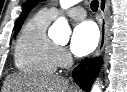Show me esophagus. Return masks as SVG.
<instances>
[{
  "mask_svg": "<svg viewBox=\"0 0 127 92\" xmlns=\"http://www.w3.org/2000/svg\"><path fill=\"white\" fill-rule=\"evenodd\" d=\"M99 11L101 15L100 41H99L98 48L94 54V57L99 56L103 52L108 36H109V26H108L109 1L108 0H99Z\"/></svg>",
  "mask_w": 127,
  "mask_h": 92,
  "instance_id": "1",
  "label": "esophagus"
}]
</instances>
